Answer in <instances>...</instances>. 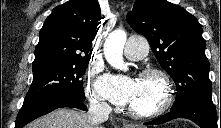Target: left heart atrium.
<instances>
[{
  "mask_svg": "<svg viewBox=\"0 0 221 128\" xmlns=\"http://www.w3.org/2000/svg\"><path fill=\"white\" fill-rule=\"evenodd\" d=\"M140 80L134 77H107L100 84V90L112 102L118 105H130Z\"/></svg>",
  "mask_w": 221,
  "mask_h": 128,
  "instance_id": "39dd6f15",
  "label": "left heart atrium"
}]
</instances>
